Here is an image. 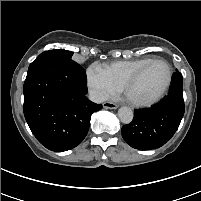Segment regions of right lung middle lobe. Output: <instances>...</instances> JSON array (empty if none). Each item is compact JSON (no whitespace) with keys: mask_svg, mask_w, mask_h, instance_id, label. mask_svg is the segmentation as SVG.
<instances>
[{"mask_svg":"<svg viewBox=\"0 0 201 201\" xmlns=\"http://www.w3.org/2000/svg\"><path fill=\"white\" fill-rule=\"evenodd\" d=\"M73 55V52L63 50V49H55V50H49L41 53L37 59L39 58H55L59 60H64V61H70L71 57Z\"/></svg>","mask_w":201,"mask_h":201,"instance_id":"right-lung-middle-lobe-1","label":"right lung middle lobe"}]
</instances>
